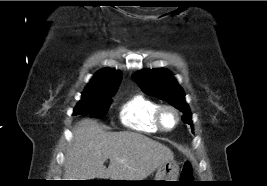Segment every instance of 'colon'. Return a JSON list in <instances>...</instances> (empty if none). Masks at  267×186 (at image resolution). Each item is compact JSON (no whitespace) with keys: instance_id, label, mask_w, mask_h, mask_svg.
<instances>
[{"instance_id":"1","label":"colon","mask_w":267,"mask_h":186,"mask_svg":"<svg viewBox=\"0 0 267 186\" xmlns=\"http://www.w3.org/2000/svg\"><path fill=\"white\" fill-rule=\"evenodd\" d=\"M180 178L183 181H189L193 178V165L191 162L186 161L182 167Z\"/></svg>"}]
</instances>
